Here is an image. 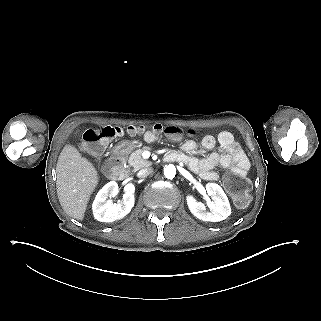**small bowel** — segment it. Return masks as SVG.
<instances>
[{
  "mask_svg": "<svg viewBox=\"0 0 321 321\" xmlns=\"http://www.w3.org/2000/svg\"><path fill=\"white\" fill-rule=\"evenodd\" d=\"M155 138L156 136L152 132L145 134V139L148 142L154 141ZM217 145L219 146L218 152H213L202 159L188 156L184 153L176 154L179 155L180 162L206 181H213L218 178L217 173L214 171L216 167L230 168L233 172L240 173L248 171L249 160L230 132L223 131L219 133L217 138L212 135H206L201 140V147L206 150H211ZM181 148L186 153H196L199 150V145L196 141L190 139L186 140Z\"/></svg>",
  "mask_w": 321,
  "mask_h": 321,
  "instance_id": "obj_1",
  "label": "small bowel"
}]
</instances>
